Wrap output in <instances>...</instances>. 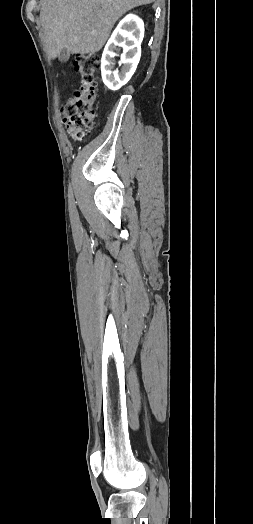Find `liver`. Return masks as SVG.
<instances>
[{"label": "liver", "instance_id": "liver-1", "mask_svg": "<svg viewBox=\"0 0 253 524\" xmlns=\"http://www.w3.org/2000/svg\"><path fill=\"white\" fill-rule=\"evenodd\" d=\"M154 0H42L40 22L48 56L98 52L115 22L134 7Z\"/></svg>", "mask_w": 253, "mask_h": 524}]
</instances>
